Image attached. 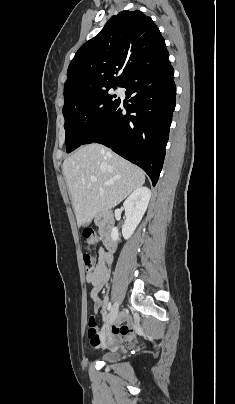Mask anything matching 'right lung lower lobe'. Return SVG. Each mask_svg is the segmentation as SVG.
<instances>
[{
	"instance_id": "98d812e1",
	"label": "right lung lower lobe",
	"mask_w": 235,
	"mask_h": 404,
	"mask_svg": "<svg viewBox=\"0 0 235 404\" xmlns=\"http://www.w3.org/2000/svg\"><path fill=\"white\" fill-rule=\"evenodd\" d=\"M169 56L146 66L126 79L130 104L121 101L90 133L82 145L104 144L114 152L141 167L157 183L165 157L176 87ZM123 108L127 113L123 114Z\"/></svg>"
}]
</instances>
